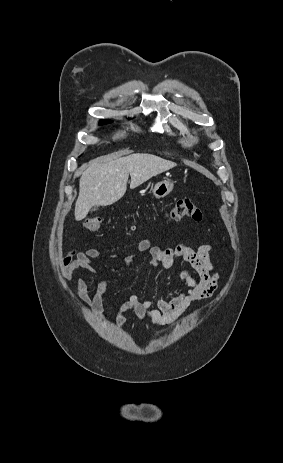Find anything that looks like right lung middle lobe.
Listing matches in <instances>:
<instances>
[{
    "mask_svg": "<svg viewBox=\"0 0 283 463\" xmlns=\"http://www.w3.org/2000/svg\"><path fill=\"white\" fill-rule=\"evenodd\" d=\"M109 122H110V120L104 119V120H102V121L100 122V124H106V123H109Z\"/></svg>",
    "mask_w": 283,
    "mask_h": 463,
    "instance_id": "1",
    "label": "right lung middle lobe"
}]
</instances>
